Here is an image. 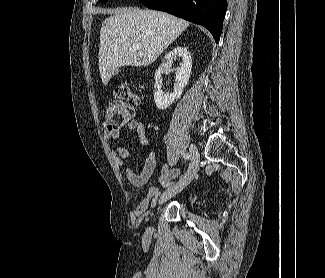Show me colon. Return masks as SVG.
Returning <instances> with one entry per match:
<instances>
[{"label": "colon", "mask_w": 325, "mask_h": 278, "mask_svg": "<svg viewBox=\"0 0 325 278\" xmlns=\"http://www.w3.org/2000/svg\"><path fill=\"white\" fill-rule=\"evenodd\" d=\"M139 98L127 87L114 92V100L103 109V126L107 131L118 130L133 119Z\"/></svg>", "instance_id": "obj_1"}]
</instances>
